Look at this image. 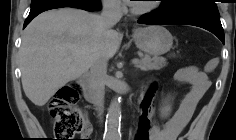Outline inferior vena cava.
Segmentation results:
<instances>
[{
    "instance_id": "inferior-vena-cava-1",
    "label": "inferior vena cava",
    "mask_w": 236,
    "mask_h": 140,
    "mask_svg": "<svg viewBox=\"0 0 236 140\" xmlns=\"http://www.w3.org/2000/svg\"><path fill=\"white\" fill-rule=\"evenodd\" d=\"M102 13L100 23L107 32L112 31V27L121 19L122 12L118 0H104L102 3ZM106 57L97 58L91 66L92 90L94 94V104L100 115L103 112L105 80L107 77Z\"/></svg>"
}]
</instances>
